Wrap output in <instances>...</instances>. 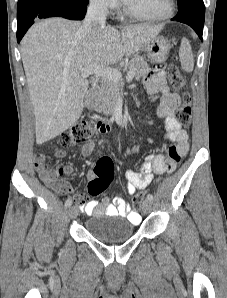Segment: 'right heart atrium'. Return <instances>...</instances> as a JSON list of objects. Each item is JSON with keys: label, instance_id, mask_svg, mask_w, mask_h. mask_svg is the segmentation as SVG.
Returning a JSON list of instances; mask_svg holds the SVG:
<instances>
[{"label": "right heart atrium", "instance_id": "obj_1", "mask_svg": "<svg viewBox=\"0 0 227 298\" xmlns=\"http://www.w3.org/2000/svg\"><path fill=\"white\" fill-rule=\"evenodd\" d=\"M91 4L101 11H111L117 8L116 0H90Z\"/></svg>", "mask_w": 227, "mask_h": 298}]
</instances>
